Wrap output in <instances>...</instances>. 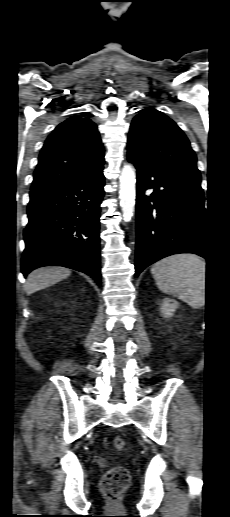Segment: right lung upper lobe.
<instances>
[{
  "instance_id": "1",
  "label": "right lung upper lobe",
  "mask_w": 230,
  "mask_h": 517,
  "mask_svg": "<svg viewBox=\"0 0 230 517\" xmlns=\"http://www.w3.org/2000/svg\"><path fill=\"white\" fill-rule=\"evenodd\" d=\"M104 150L95 123L74 116L46 139L38 158L31 190L64 184L101 169Z\"/></svg>"
}]
</instances>
